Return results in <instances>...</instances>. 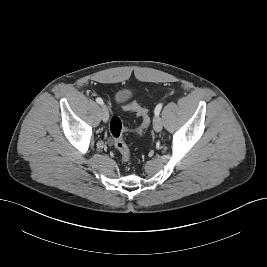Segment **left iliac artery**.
I'll list each match as a JSON object with an SVG mask.
<instances>
[{"label": "left iliac artery", "mask_w": 267, "mask_h": 267, "mask_svg": "<svg viewBox=\"0 0 267 267\" xmlns=\"http://www.w3.org/2000/svg\"><path fill=\"white\" fill-rule=\"evenodd\" d=\"M162 107H163V104H162V103H160V104H158V105L156 106L155 111H154L155 116H159Z\"/></svg>", "instance_id": "1"}]
</instances>
